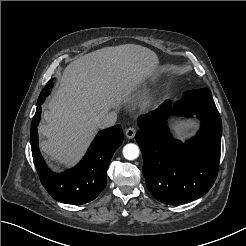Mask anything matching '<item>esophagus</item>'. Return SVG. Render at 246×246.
<instances>
[{
    "instance_id": "esophagus-1",
    "label": "esophagus",
    "mask_w": 246,
    "mask_h": 246,
    "mask_svg": "<svg viewBox=\"0 0 246 246\" xmlns=\"http://www.w3.org/2000/svg\"><path fill=\"white\" fill-rule=\"evenodd\" d=\"M135 134H136V129L133 127H130L128 129H126V131H125V135L129 139L134 138Z\"/></svg>"
}]
</instances>
